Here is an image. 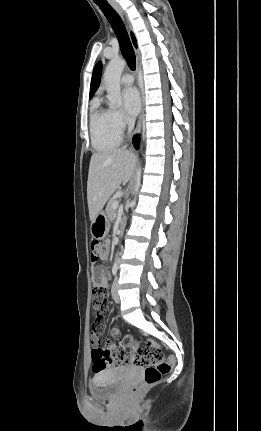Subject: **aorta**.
Wrapping results in <instances>:
<instances>
[{"instance_id": "aorta-1", "label": "aorta", "mask_w": 261, "mask_h": 431, "mask_svg": "<svg viewBox=\"0 0 261 431\" xmlns=\"http://www.w3.org/2000/svg\"><path fill=\"white\" fill-rule=\"evenodd\" d=\"M125 64V60L121 58H114L109 62L105 70L103 82L106 86L107 97L111 106H117L121 103L120 78L124 70ZM141 173L142 170L141 167H139L136 172L135 179V198L130 203L131 208H134L136 205V196L141 185ZM118 260L119 258L117 255L115 263H117Z\"/></svg>"}]
</instances>
